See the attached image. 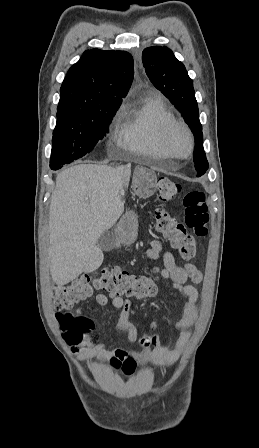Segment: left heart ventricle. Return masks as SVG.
Returning a JSON list of instances; mask_svg holds the SVG:
<instances>
[{
  "label": "left heart ventricle",
  "mask_w": 259,
  "mask_h": 448,
  "mask_svg": "<svg viewBox=\"0 0 259 448\" xmlns=\"http://www.w3.org/2000/svg\"><path fill=\"white\" fill-rule=\"evenodd\" d=\"M171 147L170 150H148L146 156L151 160L161 162H178V164L186 161L188 155V140L184 132L180 129H176L171 135Z\"/></svg>",
  "instance_id": "obj_1"
}]
</instances>
